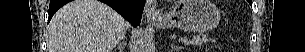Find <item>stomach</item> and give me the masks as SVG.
I'll list each match as a JSON object with an SVG mask.
<instances>
[{"label":"stomach","mask_w":305,"mask_h":52,"mask_svg":"<svg viewBox=\"0 0 305 52\" xmlns=\"http://www.w3.org/2000/svg\"><path fill=\"white\" fill-rule=\"evenodd\" d=\"M220 18V11L211 0H180L172 11L154 24L161 29L205 32L215 28Z\"/></svg>","instance_id":"stomach-1"}]
</instances>
